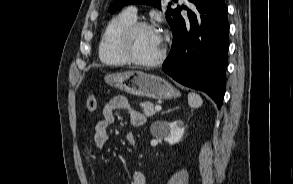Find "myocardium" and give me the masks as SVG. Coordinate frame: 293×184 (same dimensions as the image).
I'll return each mask as SVG.
<instances>
[{"instance_id":"obj_1","label":"myocardium","mask_w":293,"mask_h":184,"mask_svg":"<svg viewBox=\"0 0 293 184\" xmlns=\"http://www.w3.org/2000/svg\"><path fill=\"white\" fill-rule=\"evenodd\" d=\"M141 29H150L158 32L155 26L147 21H135L123 31L119 41L120 51L128 62L135 65L143 67H153L159 65L165 59L167 53L166 45L164 43H162L160 54L152 60H141L134 55L132 51V41L134 35Z\"/></svg>"}]
</instances>
